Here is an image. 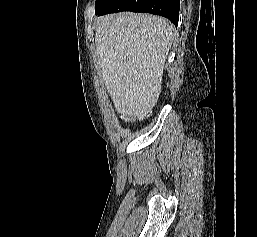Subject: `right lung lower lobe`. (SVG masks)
<instances>
[{
	"label": "right lung lower lobe",
	"instance_id": "98d812e1",
	"mask_svg": "<svg viewBox=\"0 0 257 237\" xmlns=\"http://www.w3.org/2000/svg\"><path fill=\"white\" fill-rule=\"evenodd\" d=\"M179 8L180 0H111L104 7L96 9V15L122 11L147 12L164 16L177 26Z\"/></svg>",
	"mask_w": 257,
	"mask_h": 237
}]
</instances>
